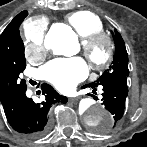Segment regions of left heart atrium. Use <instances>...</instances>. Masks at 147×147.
<instances>
[{
    "instance_id": "1",
    "label": "left heart atrium",
    "mask_w": 147,
    "mask_h": 147,
    "mask_svg": "<svg viewBox=\"0 0 147 147\" xmlns=\"http://www.w3.org/2000/svg\"><path fill=\"white\" fill-rule=\"evenodd\" d=\"M43 75L61 91L72 89L88 74V67L82 58L57 59L44 66Z\"/></svg>"
}]
</instances>
